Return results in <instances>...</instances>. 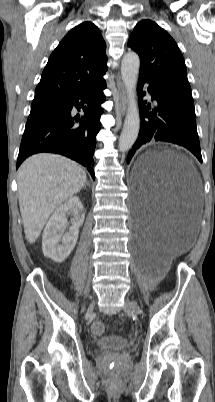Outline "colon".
<instances>
[{
  "label": "colon",
  "mask_w": 215,
  "mask_h": 402,
  "mask_svg": "<svg viewBox=\"0 0 215 402\" xmlns=\"http://www.w3.org/2000/svg\"><path fill=\"white\" fill-rule=\"evenodd\" d=\"M105 330L104 324L102 322H95L92 325V333L94 335H101Z\"/></svg>",
  "instance_id": "obj_1"
}]
</instances>
